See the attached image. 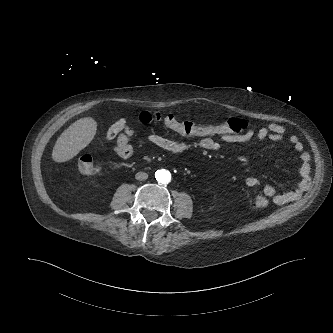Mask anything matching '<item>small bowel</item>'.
Segmentation results:
<instances>
[{
  "instance_id": "1",
  "label": "small bowel",
  "mask_w": 333,
  "mask_h": 333,
  "mask_svg": "<svg viewBox=\"0 0 333 333\" xmlns=\"http://www.w3.org/2000/svg\"><path fill=\"white\" fill-rule=\"evenodd\" d=\"M138 121L142 125H150L154 121V114L150 110H142L138 114ZM286 128L278 123H270L259 127L256 131L246 129L244 132H232L226 135L213 136L209 138H200L199 141L188 143L177 141L164 135L151 133L147 136V141L154 146L171 153H185L192 150L217 151L223 143H245L254 136L258 141L265 140L280 141L284 138ZM133 132L127 127L125 119H119L106 133V139L116 140L115 152L121 157H129L133 152L130 140ZM294 150L299 154L301 180L296 189L286 193H278L276 188L269 184H263L257 177L249 176L245 179L248 187H261L266 197L273 198L276 204H287L296 201L303 193L305 183L310 171V155L304 151V145L296 135L289 138Z\"/></svg>"
}]
</instances>
